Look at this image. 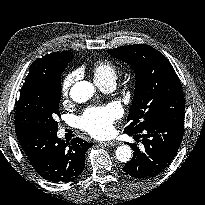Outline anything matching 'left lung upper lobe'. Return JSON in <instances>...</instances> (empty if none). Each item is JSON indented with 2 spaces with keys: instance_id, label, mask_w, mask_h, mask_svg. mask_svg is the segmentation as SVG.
<instances>
[{
  "instance_id": "left-lung-upper-lobe-1",
  "label": "left lung upper lobe",
  "mask_w": 205,
  "mask_h": 205,
  "mask_svg": "<svg viewBox=\"0 0 205 205\" xmlns=\"http://www.w3.org/2000/svg\"><path fill=\"white\" fill-rule=\"evenodd\" d=\"M135 71V94L125 133H138L171 113L184 111L185 100L178 77L159 51L145 44L121 46L107 51Z\"/></svg>"
}]
</instances>
